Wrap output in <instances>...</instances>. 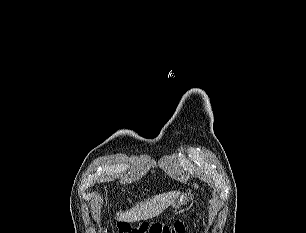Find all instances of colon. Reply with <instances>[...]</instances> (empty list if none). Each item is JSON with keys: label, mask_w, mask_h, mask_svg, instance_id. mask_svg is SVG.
Instances as JSON below:
<instances>
[{"label": "colon", "mask_w": 306, "mask_h": 233, "mask_svg": "<svg viewBox=\"0 0 306 233\" xmlns=\"http://www.w3.org/2000/svg\"><path fill=\"white\" fill-rule=\"evenodd\" d=\"M188 223L176 222L171 225L152 224L132 227L128 224H119L118 233H185L188 230Z\"/></svg>", "instance_id": "obj_1"}]
</instances>
